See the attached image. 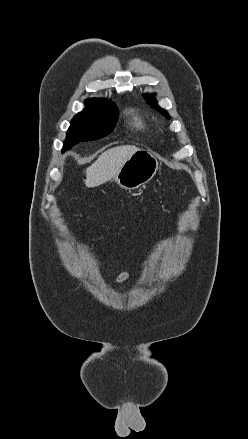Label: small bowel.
I'll list each match as a JSON object with an SVG mask.
<instances>
[{"instance_id": "c3829d8e", "label": "small bowel", "mask_w": 248, "mask_h": 439, "mask_svg": "<svg viewBox=\"0 0 248 439\" xmlns=\"http://www.w3.org/2000/svg\"><path fill=\"white\" fill-rule=\"evenodd\" d=\"M129 277H130V274L128 271H126V270L122 271L116 279V282H115L116 285L119 286V285L123 284Z\"/></svg>"}]
</instances>
